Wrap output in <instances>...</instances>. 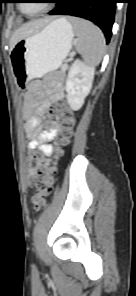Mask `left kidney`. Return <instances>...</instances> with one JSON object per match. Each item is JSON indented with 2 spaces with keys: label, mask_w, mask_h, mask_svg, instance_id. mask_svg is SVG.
<instances>
[{
  "label": "left kidney",
  "mask_w": 136,
  "mask_h": 296,
  "mask_svg": "<svg viewBox=\"0 0 136 296\" xmlns=\"http://www.w3.org/2000/svg\"><path fill=\"white\" fill-rule=\"evenodd\" d=\"M95 74V68L88 66L79 59L74 61L66 80L67 102L70 108L78 111L89 94Z\"/></svg>",
  "instance_id": "1"
}]
</instances>
